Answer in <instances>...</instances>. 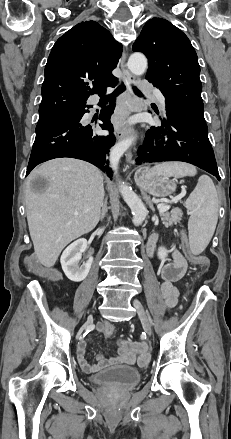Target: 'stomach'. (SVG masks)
I'll list each match as a JSON object with an SVG mask.
<instances>
[{
  "instance_id": "1",
  "label": "stomach",
  "mask_w": 231,
  "mask_h": 439,
  "mask_svg": "<svg viewBox=\"0 0 231 439\" xmlns=\"http://www.w3.org/2000/svg\"><path fill=\"white\" fill-rule=\"evenodd\" d=\"M134 179L142 191L154 197L164 198L176 190L174 180L164 175H151L150 170L146 167L137 169Z\"/></svg>"
}]
</instances>
